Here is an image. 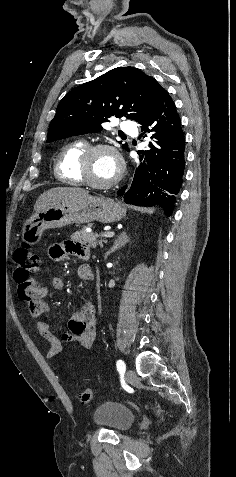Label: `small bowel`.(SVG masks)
Wrapping results in <instances>:
<instances>
[{
	"mask_svg": "<svg viewBox=\"0 0 236 477\" xmlns=\"http://www.w3.org/2000/svg\"><path fill=\"white\" fill-rule=\"evenodd\" d=\"M69 255L77 256L84 261L90 259V250L86 245L73 241L55 243L50 246L49 256L53 261H61ZM79 277L84 281H90L94 277L93 269L88 264L79 267ZM63 291L65 282L60 277H51L47 281H33L30 291H20V296L28 303L30 316L36 320V326L40 335L50 343L47 353L49 359L57 357L66 343L75 342L83 349H90L96 336L95 305L92 299L87 298L82 302L69 321V333L58 337L52 325L41 320V317L50 313V308L45 301L48 288Z\"/></svg>",
	"mask_w": 236,
	"mask_h": 477,
	"instance_id": "obj_1",
	"label": "small bowel"
}]
</instances>
